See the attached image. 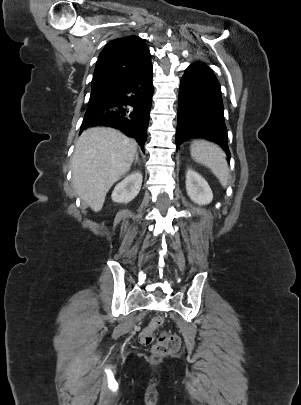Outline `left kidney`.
I'll use <instances>...</instances> for the list:
<instances>
[{
	"instance_id": "1",
	"label": "left kidney",
	"mask_w": 301,
	"mask_h": 405,
	"mask_svg": "<svg viewBox=\"0 0 301 405\" xmlns=\"http://www.w3.org/2000/svg\"><path fill=\"white\" fill-rule=\"evenodd\" d=\"M186 190L190 199L199 205L209 204L213 199L212 190L206 180L191 169L186 172Z\"/></svg>"
}]
</instances>
